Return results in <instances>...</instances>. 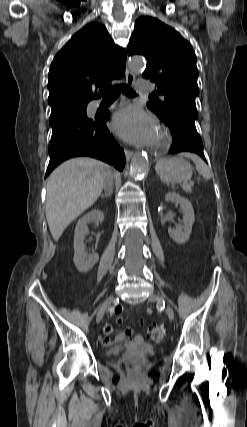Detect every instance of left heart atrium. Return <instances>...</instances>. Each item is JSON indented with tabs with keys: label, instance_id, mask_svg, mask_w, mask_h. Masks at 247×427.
<instances>
[{
	"label": "left heart atrium",
	"instance_id": "39dd6f15",
	"mask_svg": "<svg viewBox=\"0 0 247 427\" xmlns=\"http://www.w3.org/2000/svg\"><path fill=\"white\" fill-rule=\"evenodd\" d=\"M113 131L135 145L152 144L157 137V123L153 116L137 106L119 110L112 120Z\"/></svg>",
	"mask_w": 247,
	"mask_h": 427
}]
</instances>
